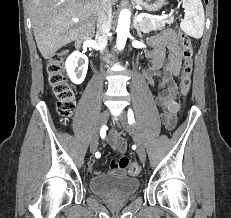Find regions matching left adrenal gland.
<instances>
[{
    "mask_svg": "<svg viewBox=\"0 0 231 218\" xmlns=\"http://www.w3.org/2000/svg\"><path fill=\"white\" fill-rule=\"evenodd\" d=\"M133 26H134V28L136 29L138 36H139V37H142V33H141V30H140V28H139V25H138L136 19L134 20Z\"/></svg>",
    "mask_w": 231,
    "mask_h": 218,
    "instance_id": "left-adrenal-gland-1",
    "label": "left adrenal gland"
}]
</instances>
